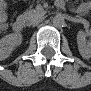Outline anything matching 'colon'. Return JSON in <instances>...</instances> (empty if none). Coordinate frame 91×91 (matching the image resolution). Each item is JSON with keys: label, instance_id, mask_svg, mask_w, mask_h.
<instances>
[{"label": "colon", "instance_id": "1", "mask_svg": "<svg viewBox=\"0 0 91 91\" xmlns=\"http://www.w3.org/2000/svg\"><path fill=\"white\" fill-rule=\"evenodd\" d=\"M4 12L6 14V4L4 2L0 5V14Z\"/></svg>", "mask_w": 91, "mask_h": 91}]
</instances>
